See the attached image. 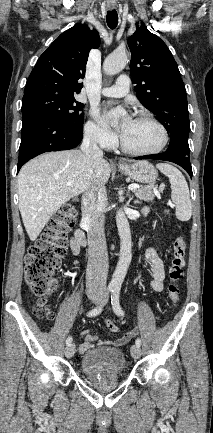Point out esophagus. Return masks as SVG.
<instances>
[{"mask_svg":"<svg viewBox=\"0 0 213 433\" xmlns=\"http://www.w3.org/2000/svg\"><path fill=\"white\" fill-rule=\"evenodd\" d=\"M114 7H115V6H114L113 4L108 5V8H109V9H114ZM119 165L121 166V165H123V163H119Z\"/></svg>","mask_w":213,"mask_h":433,"instance_id":"1","label":"esophagus"}]
</instances>
